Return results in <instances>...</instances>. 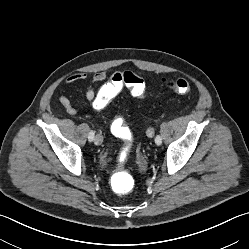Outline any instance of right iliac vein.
Returning a JSON list of instances; mask_svg holds the SVG:
<instances>
[{
    "instance_id": "right-iliac-vein-1",
    "label": "right iliac vein",
    "mask_w": 249,
    "mask_h": 249,
    "mask_svg": "<svg viewBox=\"0 0 249 249\" xmlns=\"http://www.w3.org/2000/svg\"><path fill=\"white\" fill-rule=\"evenodd\" d=\"M102 142H103L102 136L99 135V134L96 135V136H95V139H94V143H95L96 145H100Z\"/></svg>"
}]
</instances>
